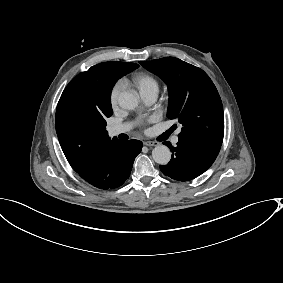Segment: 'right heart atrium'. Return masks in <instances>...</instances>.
<instances>
[{"label": "right heart atrium", "instance_id": "d8ad5b80", "mask_svg": "<svg viewBox=\"0 0 283 283\" xmlns=\"http://www.w3.org/2000/svg\"><path fill=\"white\" fill-rule=\"evenodd\" d=\"M123 90V85L121 82H115L109 90V103L112 108H115L118 105V99Z\"/></svg>", "mask_w": 283, "mask_h": 283}]
</instances>
